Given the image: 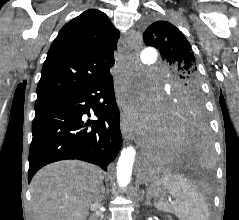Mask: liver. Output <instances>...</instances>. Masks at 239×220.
I'll use <instances>...</instances> for the list:
<instances>
[{
  "label": "liver",
  "mask_w": 239,
  "mask_h": 220,
  "mask_svg": "<svg viewBox=\"0 0 239 220\" xmlns=\"http://www.w3.org/2000/svg\"><path fill=\"white\" fill-rule=\"evenodd\" d=\"M102 180L100 168L82 161L45 166L31 181L35 220H84Z\"/></svg>",
  "instance_id": "6515ba94"
}]
</instances>
